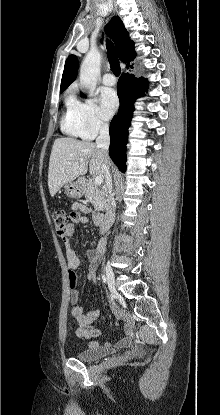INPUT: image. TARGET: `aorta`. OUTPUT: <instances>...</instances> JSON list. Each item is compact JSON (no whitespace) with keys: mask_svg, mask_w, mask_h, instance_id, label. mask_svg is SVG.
<instances>
[{"mask_svg":"<svg viewBox=\"0 0 220 415\" xmlns=\"http://www.w3.org/2000/svg\"><path fill=\"white\" fill-rule=\"evenodd\" d=\"M101 54L91 49L85 56L80 68L81 87L89 92L96 88L97 78L100 74Z\"/></svg>","mask_w":220,"mask_h":415,"instance_id":"obj_1","label":"aorta"}]
</instances>
